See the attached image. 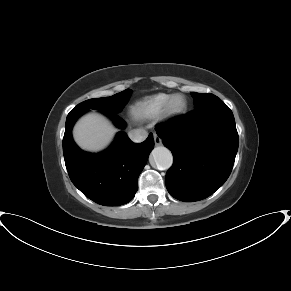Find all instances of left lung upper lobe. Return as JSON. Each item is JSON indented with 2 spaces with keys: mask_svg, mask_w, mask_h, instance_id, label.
<instances>
[{
  "mask_svg": "<svg viewBox=\"0 0 291 291\" xmlns=\"http://www.w3.org/2000/svg\"><path fill=\"white\" fill-rule=\"evenodd\" d=\"M191 95L194 98L195 110L207 107L217 101H221L220 98L210 93H191Z\"/></svg>",
  "mask_w": 291,
  "mask_h": 291,
  "instance_id": "left-lung-upper-lobe-1",
  "label": "left lung upper lobe"
}]
</instances>
